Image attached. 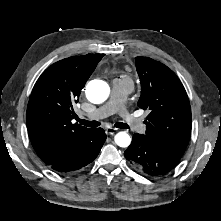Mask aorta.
<instances>
[{"label":"aorta","mask_w":221,"mask_h":221,"mask_svg":"<svg viewBox=\"0 0 221 221\" xmlns=\"http://www.w3.org/2000/svg\"><path fill=\"white\" fill-rule=\"evenodd\" d=\"M85 93L90 102L100 104L108 98L110 87L105 81L92 80L87 84ZM115 143L120 147H128L131 138L126 132H119L115 135Z\"/></svg>","instance_id":"aorta-1"}]
</instances>
